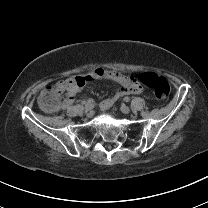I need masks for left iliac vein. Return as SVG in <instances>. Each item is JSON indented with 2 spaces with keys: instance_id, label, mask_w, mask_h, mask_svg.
I'll return each instance as SVG.
<instances>
[{
  "instance_id": "1",
  "label": "left iliac vein",
  "mask_w": 208,
  "mask_h": 208,
  "mask_svg": "<svg viewBox=\"0 0 208 208\" xmlns=\"http://www.w3.org/2000/svg\"><path fill=\"white\" fill-rule=\"evenodd\" d=\"M120 110L125 114H128L130 112V108L125 104L121 105Z\"/></svg>"
}]
</instances>
